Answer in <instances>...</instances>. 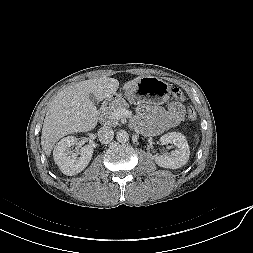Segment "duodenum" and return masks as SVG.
<instances>
[{"label":"duodenum","mask_w":253,"mask_h":253,"mask_svg":"<svg viewBox=\"0 0 253 253\" xmlns=\"http://www.w3.org/2000/svg\"><path fill=\"white\" fill-rule=\"evenodd\" d=\"M113 101H114V97H110L107 100H105L100 109V113L102 114L112 104Z\"/></svg>","instance_id":"duodenum-1"}]
</instances>
